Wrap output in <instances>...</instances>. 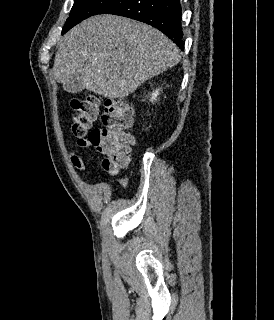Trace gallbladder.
<instances>
[{"label":"gallbladder","mask_w":274,"mask_h":320,"mask_svg":"<svg viewBox=\"0 0 274 320\" xmlns=\"http://www.w3.org/2000/svg\"><path fill=\"white\" fill-rule=\"evenodd\" d=\"M71 77L66 79L67 90H70V95H81L82 85L85 83L81 72H72Z\"/></svg>","instance_id":"1"}]
</instances>
